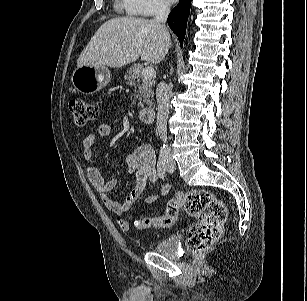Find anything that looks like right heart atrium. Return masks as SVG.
<instances>
[{
	"label": "right heart atrium",
	"mask_w": 307,
	"mask_h": 301,
	"mask_svg": "<svg viewBox=\"0 0 307 301\" xmlns=\"http://www.w3.org/2000/svg\"><path fill=\"white\" fill-rule=\"evenodd\" d=\"M130 10L137 15L152 17L169 9L167 0H128Z\"/></svg>",
	"instance_id": "right-heart-atrium-1"
}]
</instances>
